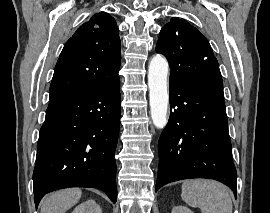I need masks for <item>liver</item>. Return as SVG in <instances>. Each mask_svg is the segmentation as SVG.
<instances>
[{
    "instance_id": "6515ba94",
    "label": "liver",
    "mask_w": 270,
    "mask_h": 213,
    "mask_svg": "<svg viewBox=\"0 0 270 213\" xmlns=\"http://www.w3.org/2000/svg\"><path fill=\"white\" fill-rule=\"evenodd\" d=\"M82 196V191L78 188H70L57 191L43 198L41 201V213H65Z\"/></svg>"
}]
</instances>
